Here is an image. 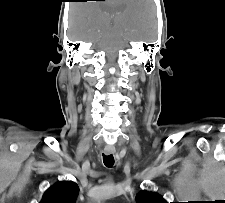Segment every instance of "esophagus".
Instances as JSON below:
<instances>
[{"label":"esophagus","instance_id":"esophagus-1","mask_svg":"<svg viewBox=\"0 0 225 203\" xmlns=\"http://www.w3.org/2000/svg\"><path fill=\"white\" fill-rule=\"evenodd\" d=\"M104 153L106 155L114 154L115 153V148H105Z\"/></svg>","mask_w":225,"mask_h":203}]
</instances>
